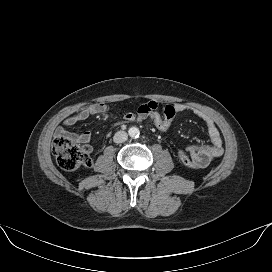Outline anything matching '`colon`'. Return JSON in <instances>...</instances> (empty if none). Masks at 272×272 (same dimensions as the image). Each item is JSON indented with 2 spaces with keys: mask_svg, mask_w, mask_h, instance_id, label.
I'll return each mask as SVG.
<instances>
[{
  "mask_svg": "<svg viewBox=\"0 0 272 272\" xmlns=\"http://www.w3.org/2000/svg\"><path fill=\"white\" fill-rule=\"evenodd\" d=\"M137 118L140 121L152 123L158 130H168L177 113L173 105H164L160 109H138ZM53 153L59 166L67 171H72L80 166H90L92 161L87 151L79 146L68 136L60 135L53 142ZM181 163L189 168H200V164L193 160L184 150L177 151Z\"/></svg>",
  "mask_w": 272,
  "mask_h": 272,
  "instance_id": "5ec220e1",
  "label": "colon"
}]
</instances>
